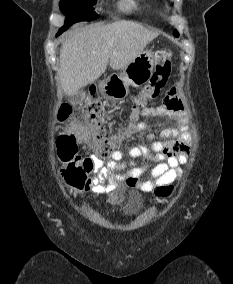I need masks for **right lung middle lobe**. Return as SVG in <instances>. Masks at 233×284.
Returning a JSON list of instances; mask_svg holds the SVG:
<instances>
[{
	"label": "right lung middle lobe",
	"instance_id": "dd1d6c3e",
	"mask_svg": "<svg viewBox=\"0 0 233 284\" xmlns=\"http://www.w3.org/2000/svg\"><path fill=\"white\" fill-rule=\"evenodd\" d=\"M97 0H61L60 9L67 16L65 25L57 35L68 29L70 24L80 21H91L99 17L94 11L93 5Z\"/></svg>",
	"mask_w": 233,
	"mask_h": 284
}]
</instances>
